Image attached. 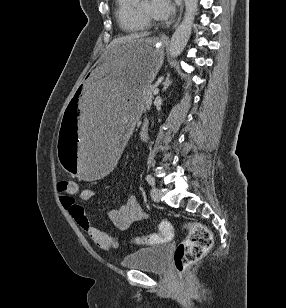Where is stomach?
I'll use <instances>...</instances> for the list:
<instances>
[{
  "mask_svg": "<svg viewBox=\"0 0 286 308\" xmlns=\"http://www.w3.org/2000/svg\"><path fill=\"white\" fill-rule=\"evenodd\" d=\"M159 38L126 40L94 61L60 118L58 158L64 173L81 182H104L123 159L126 132L145 107L142 92L163 62Z\"/></svg>",
  "mask_w": 286,
  "mask_h": 308,
  "instance_id": "obj_1",
  "label": "stomach"
}]
</instances>
